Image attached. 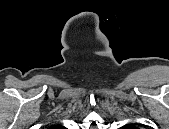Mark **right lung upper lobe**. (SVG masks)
<instances>
[{"mask_svg": "<svg viewBox=\"0 0 169 129\" xmlns=\"http://www.w3.org/2000/svg\"><path fill=\"white\" fill-rule=\"evenodd\" d=\"M51 128H52V129H60L61 126H60V125H54V126H52Z\"/></svg>", "mask_w": 169, "mask_h": 129, "instance_id": "right-lung-upper-lobe-1", "label": "right lung upper lobe"}]
</instances>
